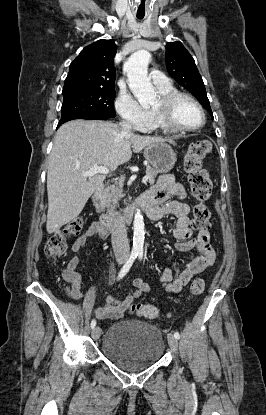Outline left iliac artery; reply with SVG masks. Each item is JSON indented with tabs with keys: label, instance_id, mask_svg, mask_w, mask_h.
Listing matches in <instances>:
<instances>
[{
	"label": "left iliac artery",
	"instance_id": "obj_1",
	"mask_svg": "<svg viewBox=\"0 0 266 415\" xmlns=\"http://www.w3.org/2000/svg\"><path fill=\"white\" fill-rule=\"evenodd\" d=\"M138 255H139V259L141 260V259H142V257H143V251H139ZM174 337H175L176 339H179V338H180V334H179L177 331H175V332H174Z\"/></svg>",
	"mask_w": 266,
	"mask_h": 415
}]
</instances>
